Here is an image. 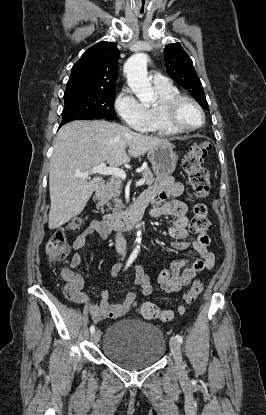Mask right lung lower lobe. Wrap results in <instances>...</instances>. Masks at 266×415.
<instances>
[{"instance_id": "obj_1", "label": "right lung lower lobe", "mask_w": 266, "mask_h": 415, "mask_svg": "<svg viewBox=\"0 0 266 415\" xmlns=\"http://www.w3.org/2000/svg\"><path fill=\"white\" fill-rule=\"evenodd\" d=\"M73 120H75V119H72V118H66V119H63L62 120V122H61V125L59 126V127H61L63 124H65V123H67V122H70V121H73ZM91 120V119H90Z\"/></svg>"}]
</instances>
